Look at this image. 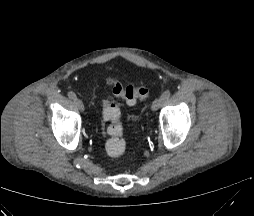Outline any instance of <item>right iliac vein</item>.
I'll return each mask as SVG.
<instances>
[{"instance_id": "63e3f726", "label": "right iliac vein", "mask_w": 254, "mask_h": 216, "mask_svg": "<svg viewBox=\"0 0 254 216\" xmlns=\"http://www.w3.org/2000/svg\"><path fill=\"white\" fill-rule=\"evenodd\" d=\"M74 104H75V106H76V108L79 110V111H81V112H83L84 111V104H83V102L80 100V99H75L74 100Z\"/></svg>"}]
</instances>
